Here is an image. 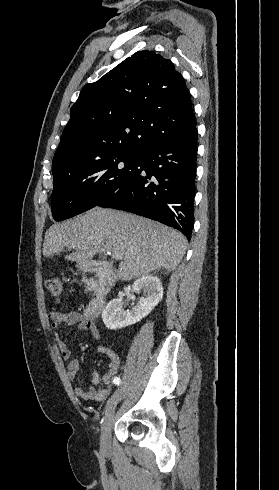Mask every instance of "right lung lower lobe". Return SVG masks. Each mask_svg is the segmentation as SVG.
<instances>
[{
	"mask_svg": "<svg viewBox=\"0 0 279 490\" xmlns=\"http://www.w3.org/2000/svg\"><path fill=\"white\" fill-rule=\"evenodd\" d=\"M197 128L141 157V173L98 206L132 212L181 231L194 224Z\"/></svg>",
	"mask_w": 279,
	"mask_h": 490,
	"instance_id": "obj_1",
	"label": "right lung lower lobe"
}]
</instances>
